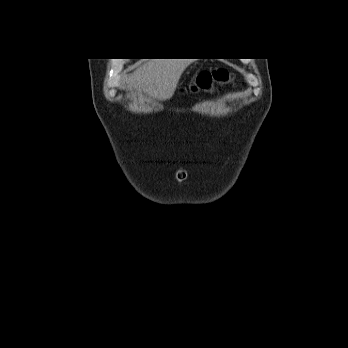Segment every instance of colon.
I'll return each instance as SVG.
<instances>
[{"instance_id":"colon-1","label":"colon","mask_w":348,"mask_h":348,"mask_svg":"<svg viewBox=\"0 0 348 348\" xmlns=\"http://www.w3.org/2000/svg\"><path fill=\"white\" fill-rule=\"evenodd\" d=\"M231 74L224 68H218L201 72L196 81L188 88V91L197 93L208 90L215 84H226L230 81Z\"/></svg>"}]
</instances>
